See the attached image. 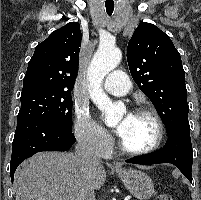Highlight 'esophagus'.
<instances>
[{"label":"esophagus","mask_w":201,"mask_h":200,"mask_svg":"<svg viewBox=\"0 0 201 200\" xmlns=\"http://www.w3.org/2000/svg\"><path fill=\"white\" fill-rule=\"evenodd\" d=\"M115 167H116V168H120V165H119V164H116Z\"/></svg>","instance_id":"1"}]
</instances>
